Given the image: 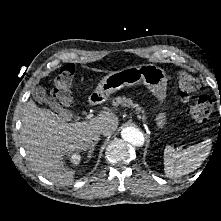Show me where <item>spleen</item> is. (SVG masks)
<instances>
[{"instance_id": "spleen-1", "label": "spleen", "mask_w": 221, "mask_h": 221, "mask_svg": "<svg viewBox=\"0 0 221 221\" xmlns=\"http://www.w3.org/2000/svg\"><path fill=\"white\" fill-rule=\"evenodd\" d=\"M211 139L176 151L171 146L164 149V172L169 178H179L196 170L210 154Z\"/></svg>"}]
</instances>
